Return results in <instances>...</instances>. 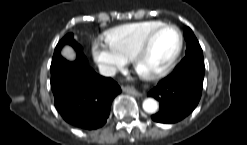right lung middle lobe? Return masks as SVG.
I'll use <instances>...</instances> for the list:
<instances>
[{
  "instance_id": "1",
  "label": "right lung middle lobe",
  "mask_w": 247,
  "mask_h": 145,
  "mask_svg": "<svg viewBox=\"0 0 247 145\" xmlns=\"http://www.w3.org/2000/svg\"><path fill=\"white\" fill-rule=\"evenodd\" d=\"M65 44L71 45L76 51H80L81 49V46L77 42L74 41L73 35L70 33V34H67L61 41H59V43L57 44L55 48L53 58H58L59 56H61L60 50Z\"/></svg>"
}]
</instances>
